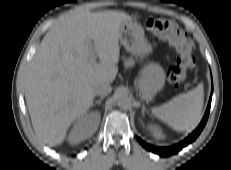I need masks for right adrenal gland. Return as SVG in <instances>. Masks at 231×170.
<instances>
[{
    "mask_svg": "<svg viewBox=\"0 0 231 170\" xmlns=\"http://www.w3.org/2000/svg\"><path fill=\"white\" fill-rule=\"evenodd\" d=\"M103 99H104V97H100V99H99V100H96V101L92 104V106H94V105H96V104L100 105Z\"/></svg>",
    "mask_w": 231,
    "mask_h": 170,
    "instance_id": "2a0ac1e0",
    "label": "right adrenal gland"
}]
</instances>
